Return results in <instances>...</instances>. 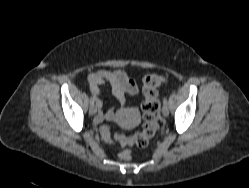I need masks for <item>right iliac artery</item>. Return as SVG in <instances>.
Returning <instances> with one entry per match:
<instances>
[{"label":"right iliac artery","instance_id":"1","mask_svg":"<svg viewBox=\"0 0 249 188\" xmlns=\"http://www.w3.org/2000/svg\"><path fill=\"white\" fill-rule=\"evenodd\" d=\"M95 100H96V97H95L94 95H93V96H91V101H90V104H93Z\"/></svg>","mask_w":249,"mask_h":188}]
</instances>
